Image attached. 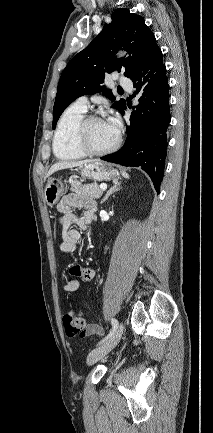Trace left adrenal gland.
<instances>
[{"label":"left adrenal gland","instance_id":"obj_1","mask_svg":"<svg viewBox=\"0 0 213 433\" xmlns=\"http://www.w3.org/2000/svg\"><path fill=\"white\" fill-rule=\"evenodd\" d=\"M120 184L121 183H116V184H114L107 192H106V194H105V196H104V198L102 199V201H101V204H103L108 198H109V196L111 195V194H113V193H115V192H117V191H119L120 189H121V187H120Z\"/></svg>","mask_w":213,"mask_h":433}]
</instances>
